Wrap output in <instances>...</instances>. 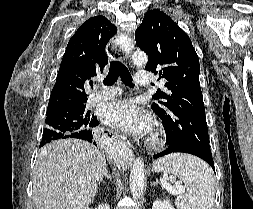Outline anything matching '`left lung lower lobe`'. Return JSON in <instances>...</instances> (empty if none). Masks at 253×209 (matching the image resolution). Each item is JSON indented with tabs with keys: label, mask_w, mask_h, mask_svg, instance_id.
Segmentation results:
<instances>
[{
	"label": "left lung lower lobe",
	"mask_w": 253,
	"mask_h": 209,
	"mask_svg": "<svg viewBox=\"0 0 253 209\" xmlns=\"http://www.w3.org/2000/svg\"><path fill=\"white\" fill-rule=\"evenodd\" d=\"M176 152H183V153H189V154L195 155V156L203 159L204 161H206L212 167V169L215 171L214 162L212 159V154L204 152V151L192 149V148H181V147L168 146V148H166L164 151H162L158 154H155L153 157H154V159H157V158L162 157L164 155H168L170 153H176Z\"/></svg>",
	"instance_id": "left-lung-lower-lobe-1"
}]
</instances>
